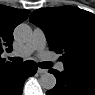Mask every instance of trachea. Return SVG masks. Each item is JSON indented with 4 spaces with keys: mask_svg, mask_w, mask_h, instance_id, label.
I'll use <instances>...</instances> for the list:
<instances>
[{
    "mask_svg": "<svg viewBox=\"0 0 95 95\" xmlns=\"http://www.w3.org/2000/svg\"><path fill=\"white\" fill-rule=\"evenodd\" d=\"M11 61L15 62V63H20L22 62V59L19 58V57H13V58H10ZM52 64L50 62H41L39 64V67L40 68H43V69H49L51 68Z\"/></svg>",
    "mask_w": 95,
    "mask_h": 95,
    "instance_id": "trachea-1",
    "label": "trachea"
}]
</instances>
